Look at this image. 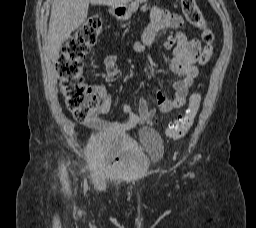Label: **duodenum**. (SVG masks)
<instances>
[{
    "label": "duodenum",
    "mask_w": 256,
    "mask_h": 228,
    "mask_svg": "<svg viewBox=\"0 0 256 228\" xmlns=\"http://www.w3.org/2000/svg\"><path fill=\"white\" fill-rule=\"evenodd\" d=\"M126 9L121 5H112L110 7V13L115 17H121L125 14Z\"/></svg>",
    "instance_id": "1"
}]
</instances>
